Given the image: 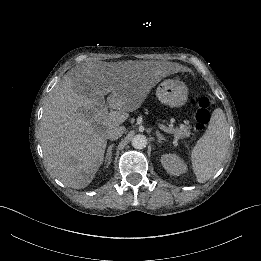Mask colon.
<instances>
[{"mask_svg": "<svg viewBox=\"0 0 261 261\" xmlns=\"http://www.w3.org/2000/svg\"><path fill=\"white\" fill-rule=\"evenodd\" d=\"M190 108L188 110V119L192 123L196 131L203 130L210 119V101L205 96L192 97L188 102Z\"/></svg>", "mask_w": 261, "mask_h": 261, "instance_id": "5ec220e1", "label": "colon"}]
</instances>
